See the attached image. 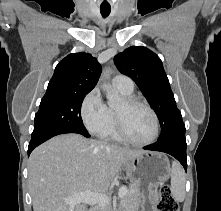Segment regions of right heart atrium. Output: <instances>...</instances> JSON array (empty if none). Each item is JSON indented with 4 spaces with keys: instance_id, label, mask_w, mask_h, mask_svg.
<instances>
[{
    "instance_id": "right-heart-atrium-1",
    "label": "right heart atrium",
    "mask_w": 221,
    "mask_h": 211,
    "mask_svg": "<svg viewBox=\"0 0 221 211\" xmlns=\"http://www.w3.org/2000/svg\"><path fill=\"white\" fill-rule=\"evenodd\" d=\"M80 115L86 129L98 136H103L111 127V110L102 99L97 88L92 89L83 99Z\"/></svg>"
}]
</instances>
